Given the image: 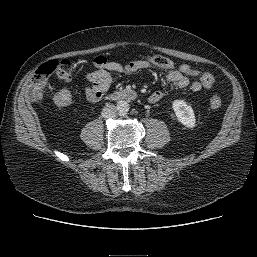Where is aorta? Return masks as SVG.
Here are the masks:
<instances>
[{"instance_id": "762f6f07", "label": "aorta", "mask_w": 257, "mask_h": 257, "mask_svg": "<svg viewBox=\"0 0 257 257\" xmlns=\"http://www.w3.org/2000/svg\"><path fill=\"white\" fill-rule=\"evenodd\" d=\"M116 108H117V111L119 112V114H126L130 109V105L127 101L120 100L117 102Z\"/></svg>"}]
</instances>
